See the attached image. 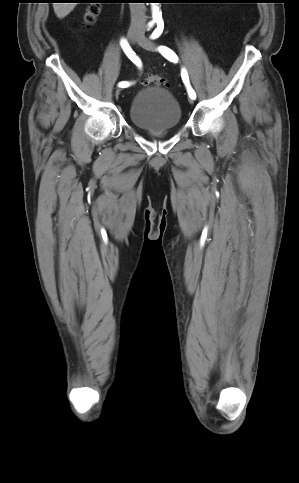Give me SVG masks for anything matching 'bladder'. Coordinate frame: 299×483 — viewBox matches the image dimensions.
<instances>
[{
    "mask_svg": "<svg viewBox=\"0 0 299 483\" xmlns=\"http://www.w3.org/2000/svg\"><path fill=\"white\" fill-rule=\"evenodd\" d=\"M129 117L138 128L146 131H166L177 127L181 109L177 99L163 86H148L133 97Z\"/></svg>",
    "mask_w": 299,
    "mask_h": 483,
    "instance_id": "obj_1",
    "label": "bladder"
}]
</instances>
